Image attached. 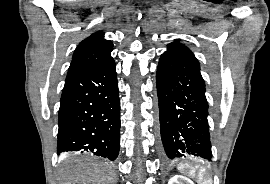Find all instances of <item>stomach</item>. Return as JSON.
Wrapping results in <instances>:
<instances>
[{"mask_svg":"<svg viewBox=\"0 0 270 184\" xmlns=\"http://www.w3.org/2000/svg\"><path fill=\"white\" fill-rule=\"evenodd\" d=\"M184 165H180L178 168L181 169Z\"/></svg>","mask_w":270,"mask_h":184,"instance_id":"0dacf381","label":"stomach"}]
</instances>
